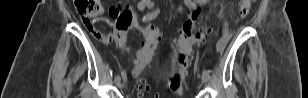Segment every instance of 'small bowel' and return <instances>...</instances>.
Wrapping results in <instances>:
<instances>
[{
  "label": "small bowel",
  "instance_id": "small-bowel-1",
  "mask_svg": "<svg viewBox=\"0 0 308 98\" xmlns=\"http://www.w3.org/2000/svg\"><path fill=\"white\" fill-rule=\"evenodd\" d=\"M206 1L205 0H184L183 1V5L190 9V10H195L198 8V6L200 4H204ZM154 6V3L150 0H141L139 2H137L136 4V9L138 11H142L144 10L145 8H152ZM177 11H182L183 10V6H179L176 8ZM135 14V13H134ZM136 22H133V24H136ZM117 24V21L116 23ZM92 34H94V31H96L95 29L92 31V30H89ZM103 33H107V32H103ZM227 41H228V36H227V33H224L223 36L219 39L218 43H217V50L219 52H223L226 45H227Z\"/></svg>",
  "mask_w": 308,
  "mask_h": 98
}]
</instances>
